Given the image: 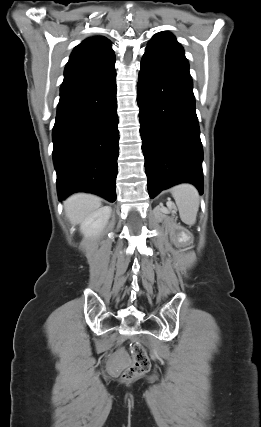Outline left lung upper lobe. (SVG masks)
<instances>
[{"label":"left lung upper lobe","instance_id":"1","mask_svg":"<svg viewBox=\"0 0 261 427\" xmlns=\"http://www.w3.org/2000/svg\"><path fill=\"white\" fill-rule=\"evenodd\" d=\"M146 50L164 54L174 59L188 63L184 56L182 46L176 41V38L168 32L156 34L148 43Z\"/></svg>","mask_w":261,"mask_h":427}]
</instances>
